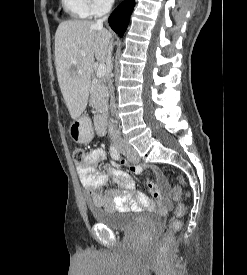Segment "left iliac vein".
I'll use <instances>...</instances> for the list:
<instances>
[{
	"label": "left iliac vein",
	"instance_id": "1",
	"mask_svg": "<svg viewBox=\"0 0 247 275\" xmlns=\"http://www.w3.org/2000/svg\"><path fill=\"white\" fill-rule=\"evenodd\" d=\"M121 150L126 154L129 162L137 163L139 161L138 154L136 151L127 143H123L121 146Z\"/></svg>",
	"mask_w": 247,
	"mask_h": 275
}]
</instances>
